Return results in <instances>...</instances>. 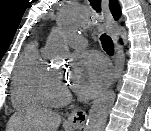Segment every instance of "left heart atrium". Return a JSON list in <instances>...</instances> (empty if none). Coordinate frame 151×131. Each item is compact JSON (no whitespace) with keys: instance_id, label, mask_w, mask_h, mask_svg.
Returning a JSON list of instances; mask_svg holds the SVG:
<instances>
[{"instance_id":"1","label":"left heart atrium","mask_w":151,"mask_h":131,"mask_svg":"<svg viewBox=\"0 0 151 131\" xmlns=\"http://www.w3.org/2000/svg\"><path fill=\"white\" fill-rule=\"evenodd\" d=\"M110 72L102 59L94 53L75 57L69 77L70 88L83 98H92L108 83Z\"/></svg>"}]
</instances>
